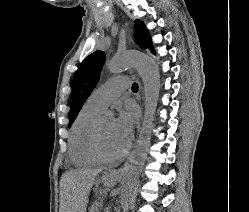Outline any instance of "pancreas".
Returning <instances> with one entry per match:
<instances>
[{"label": "pancreas", "instance_id": "pancreas-1", "mask_svg": "<svg viewBox=\"0 0 249 212\" xmlns=\"http://www.w3.org/2000/svg\"><path fill=\"white\" fill-rule=\"evenodd\" d=\"M98 206H99V204H98ZM98 206H92L91 212H99Z\"/></svg>", "mask_w": 249, "mask_h": 212}]
</instances>
